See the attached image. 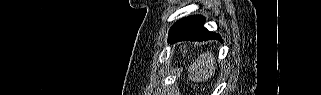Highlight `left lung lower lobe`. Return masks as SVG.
Instances as JSON below:
<instances>
[{
    "label": "left lung lower lobe",
    "mask_w": 321,
    "mask_h": 95,
    "mask_svg": "<svg viewBox=\"0 0 321 95\" xmlns=\"http://www.w3.org/2000/svg\"><path fill=\"white\" fill-rule=\"evenodd\" d=\"M204 22V17L200 15L186 17L177 21L169 31L168 42L220 39L219 34L212 33L203 27Z\"/></svg>",
    "instance_id": "0a47b994"
}]
</instances>
